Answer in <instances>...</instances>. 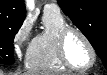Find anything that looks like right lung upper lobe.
Instances as JSON below:
<instances>
[{"instance_id":"obj_1","label":"right lung upper lobe","mask_w":107,"mask_h":75,"mask_svg":"<svg viewBox=\"0 0 107 75\" xmlns=\"http://www.w3.org/2000/svg\"><path fill=\"white\" fill-rule=\"evenodd\" d=\"M25 15L23 0H0V28L23 23Z\"/></svg>"}]
</instances>
